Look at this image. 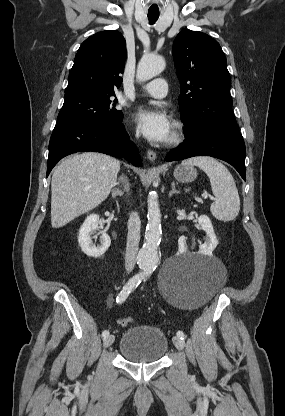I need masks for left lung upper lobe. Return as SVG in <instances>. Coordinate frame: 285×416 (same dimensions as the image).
I'll return each instance as SVG.
<instances>
[{
  "instance_id": "obj_1",
  "label": "left lung upper lobe",
  "mask_w": 285,
  "mask_h": 416,
  "mask_svg": "<svg viewBox=\"0 0 285 416\" xmlns=\"http://www.w3.org/2000/svg\"><path fill=\"white\" fill-rule=\"evenodd\" d=\"M180 80V112L188 135L219 121H236L230 95L231 78L219 43L205 33L183 30L173 42Z\"/></svg>"
}]
</instances>
